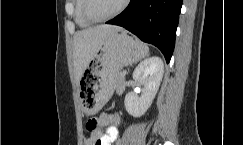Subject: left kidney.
Instances as JSON below:
<instances>
[{
    "instance_id": "5707ae66",
    "label": "left kidney",
    "mask_w": 243,
    "mask_h": 145,
    "mask_svg": "<svg viewBox=\"0 0 243 145\" xmlns=\"http://www.w3.org/2000/svg\"><path fill=\"white\" fill-rule=\"evenodd\" d=\"M163 73V61L157 56L145 59L136 67L133 79L144 89L140 97L134 93L125 96V108L130 115L140 117L145 114L157 94Z\"/></svg>"
}]
</instances>
